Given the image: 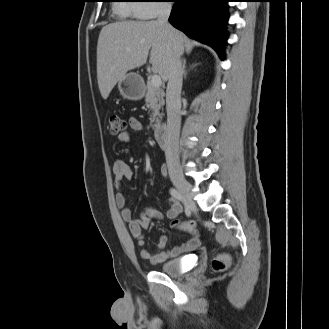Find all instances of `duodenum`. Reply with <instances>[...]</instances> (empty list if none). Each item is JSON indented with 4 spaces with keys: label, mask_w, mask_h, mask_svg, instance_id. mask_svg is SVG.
<instances>
[{
    "label": "duodenum",
    "mask_w": 329,
    "mask_h": 329,
    "mask_svg": "<svg viewBox=\"0 0 329 329\" xmlns=\"http://www.w3.org/2000/svg\"><path fill=\"white\" fill-rule=\"evenodd\" d=\"M153 131L155 138L158 142V144L163 148V149H168L170 144H169V135L167 128L163 125V123L159 121H155L153 124Z\"/></svg>",
    "instance_id": "1"
}]
</instances>
